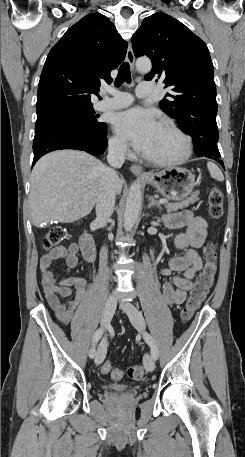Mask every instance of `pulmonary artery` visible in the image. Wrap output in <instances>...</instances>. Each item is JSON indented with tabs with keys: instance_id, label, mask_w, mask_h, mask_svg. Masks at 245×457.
I'll use <instances>...</instances> for the list:
<instances>
[{
	"instance_id": "obj_1",
	"label": "pulmonary artery",
	"mask_w": 245,
	"mask_h": 457,
	"mask_svg": "<svg viewBox=\"0 0 245 457\" xmlns=\"http://www.w3.org/2000/svg\"><path fill=\"white\" fill-rule=\"evenodd\" d=\"M138 85L135 88V93L140 100H145L147 95H154L155 88L152 80H140ZM105 92L112 97L97 102L94 106L97 111L121 109L133 101L132 97L125 92L114 91L110 88H106Z\"/></svg>"
}]
</instances>
